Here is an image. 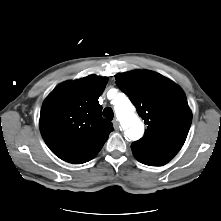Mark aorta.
Returning <instances> with one entry per match:
<instances>
[{
  "instance_id": "obj_1",
  "label": "aorta",
  "mask_w": 221,
  "mask_h": 221,
  "mask_svg": "<svg viewBox=\"0 0 221 221\" xmlns=\"http://www.w3.org/2000/svg\"><path fill=\"white\" fill-rule=\"evenodd\" d=\"M134 111V106L127 98H123L115 104L117 119L125 129L126 137L133 141L140 139L144 133V125Z\"/></svg>"
}]
</instances>
